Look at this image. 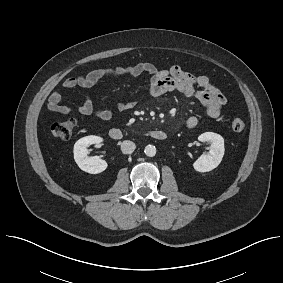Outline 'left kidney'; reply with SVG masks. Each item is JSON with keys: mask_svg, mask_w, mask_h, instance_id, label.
<instances>
[{"mask_svg": "<svg viewBox=\"0 0 283 283\" xmlns=\"http://www.w3.org/2000/svg\"><path fill=\"white\" fill-rule=\"evenodd\" d=\"M200 142L209 141L211 146L209 152L202 154L194 163L193 167L198 172H209L215 169L222 161L224 156V139L221 135L214 132H205L199 135Z\"/></svg>", "mask_w": 283, "mask_h": 283, "instance_id": "left-kidney-1", "label": "left kidney"}]
</instances>
